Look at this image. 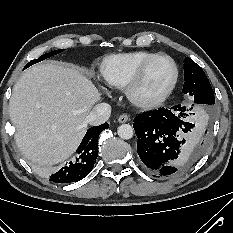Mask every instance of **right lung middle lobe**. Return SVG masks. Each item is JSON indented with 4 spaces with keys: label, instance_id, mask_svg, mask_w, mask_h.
I'll return each mask as SVG.
<instances>
[{
    "label": "right lung middle lobe",
    "instance_id": "1",
    "mask_svg": "<svg viewBox=\"0 0 233 233\" xmlns=\"http://www.w3.org/2000/svg\"><path fill=\"white\" fill-rule=\"evenodd\" d=\"M62 51H64V49H59V50H55V51H52V52H49V53H46V54H43L42 56H40L38 59H35V60H32L30 61L25 67L24 69L28 68L29 66L35 64V63H38L46 58H49L53 55H56L58 53H61Z\"/></svg>",
    "mask_w": 233,
    "mask_h": 233
}]
</instances>
